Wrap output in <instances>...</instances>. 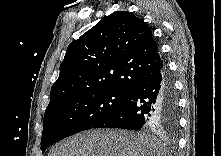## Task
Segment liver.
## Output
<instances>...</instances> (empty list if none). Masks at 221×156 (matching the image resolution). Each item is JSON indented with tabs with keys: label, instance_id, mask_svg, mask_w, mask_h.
I'll return each instance as SVG.
<instances>
[{
	"label": "liver",
	"instance_id": "liver-1",
	"mask_svg": "<svg viewBox=\"0 0 221 156\" xmlns=\"http://www.w3.org/2000/svg\"><path fill=\"white\" fill-rule=\"evenodd\" d=\"M154 136L118 129L88 130L59 142L49 156H164Z\"/></svg>",
	"mask_w": 221,
	"mask_h": 156
}]
</instances>
